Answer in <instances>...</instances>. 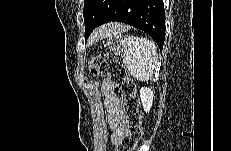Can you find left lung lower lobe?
I'll list each match as a JSON object with an SVG mask.
<instances>
[{"mask_svg":"<svg viewBox=\"0 0 231 151\" xmlns=\"http://www.w3.org/2000/svg\"><path fill=\"white\" fill-rule=\"evenodd\" d=\"M110 21H120L145 31L162 51L165 39V10L162 0H113L98 26ZM90 34L85 35V40Z\"/></svg>","mask_w":231,"mask_h":151,"instance_id":"1","label":"left lung lower lobe"}]
</instances>
